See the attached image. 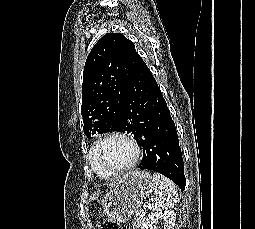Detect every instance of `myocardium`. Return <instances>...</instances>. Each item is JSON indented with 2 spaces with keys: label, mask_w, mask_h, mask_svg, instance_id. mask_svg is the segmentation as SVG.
Returning <instances> with one entry per match:
<instances>
[{
  "label": "myocardium",
  "mask_w": 255,
  "mask_h": 229,
  "mask_svg": "<svg viewBox=\"0 0 255 229\" xmlns=\"http://www.w3.org/2000/svg\"><path fill=\"white\" fill-rule=\"evenodd\" d=\"M113 137L122 138L126 142H128L133 149L134 155H133V158L130 161V163H128L127 165L120 167V168H116V169H109V168L105 167L103 164H101V162L97 159V150H98V147L104 141H106L109 138H113ZM90 153L92 156V161H94L98 166H100L109 176L113 177V176H118L124 172L129 171L137 164V162L140 158V147H139L137 141L129 134L122 132V131H110V132L103 134L102 136H100L98 139H96L94 141V143L91 146Z\"/></svg>",
  "instance_id": "obj_1"
}]
</instances>
